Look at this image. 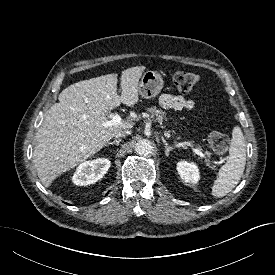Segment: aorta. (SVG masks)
I'll list each match as a JSON object with an SVG mask.
<instances>
[{"label": "aorta", "mask_w": 275, "mask_h": 275, "mask_svg": "<svg viewBox=\"0 0 275 275\" xmlns=\"http://www.w3.org/2000/svg\"><path fill=\"white\" fill-rule=\"evenodd\" d=\"M135 152L139 155H149L153 151L152 143L147 139H141L135 144Z\"/></svg>", "instance_id": "1"}]
</instances>
